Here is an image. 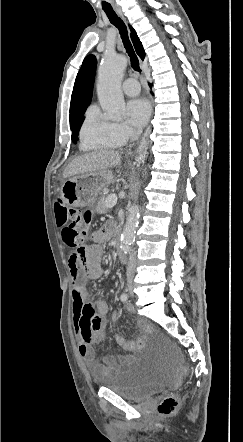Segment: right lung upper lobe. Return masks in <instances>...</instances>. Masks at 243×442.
I'll return each mask as SVG.
<instances>
[{"mask_svg": "<svg viewBox=\"0 0 243 442\" xmlns=\"http://www.w3.org/2000/svg\"><path fill=\"white\" fill-rule=\"evenodd\" d=\"M131 39L137 54L143 60L145 52L135 30L130 26ZM97 61L94 55L85 58L77 74L70 104V124L83 119V114L91 102L93 81L95 77Z\"/></svg>", "mask_w": 243, "mask_h": 442, "instance_id": "cb5924a9", "label": "right lung upper lobe"}]
</instances>
